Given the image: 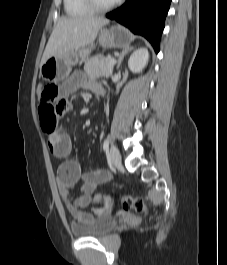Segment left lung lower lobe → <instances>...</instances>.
Segmentation results:
<instances>
[{
    "mask_svg": "<svg viewBox=\"0 0 227 265\" xmlns=\"http://www.w3.org/2000/svg\"><path fill=\"white\" fill-rule=\"evenodd\" d=\"M170 2L171 0H127L106 16L128 27L133 33L144 36L158 53Z\"/></svg>",
    "mask_w": 227,
    "mask_h": 265,
    "instance_id": "1",
    "label": "left lung lower lobe"
}]
</instances>
